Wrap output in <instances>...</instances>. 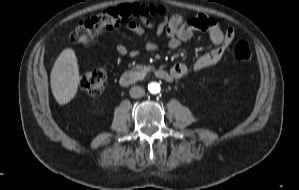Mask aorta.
<instances>
[{"mask_svg":"<svg viewBox=\"0 0 299 190\" xmlns=\"http://www.w3.org/2000/svg\"><path fill=\"white\" fill-rule=\"evenodd\" d=\"M148 90L151 94H158L161 91V86L159 83L151 82L148 85Z\"/></svg>","mask_w":299,"mask_h":190,"instance_id":"1","label":"aorta"}]
</instances>
